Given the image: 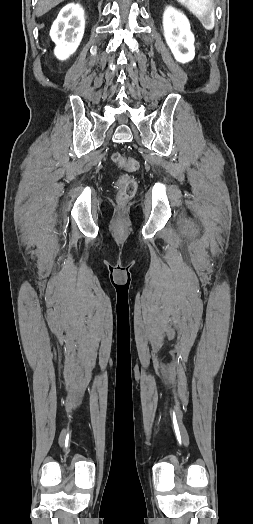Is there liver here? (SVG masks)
Returning a JSON list of instances; mask_svg holds the SVG:
<instances>
[{
	"mask_svg": "<svg viewBox=\"0 0 253 524\" xmlns=\"http://www.w3.org/2000/svg\"><path fill=\"white\" fill-rule=\"evenodd\" d=\"M64 0H39L36 8L37 16H42Z\"/></svg>",
	"mask_w": 253,
	"mask_h": 524,
	"instance_id": "1",
	"label": "liver"
}]
</instances>
